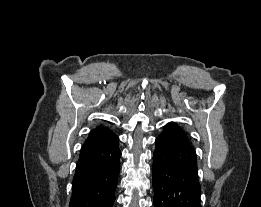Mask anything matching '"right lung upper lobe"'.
I'll return each mask as SVG.
<instances>
[{
  "label": "right lung upper lobe",
  "instance_id": "right-lung-upper-lobe-1",
  "mask_svg": "<svg viewBox=\"0 0 261 207\" xmlns=\"http://www.w3.org/2000/svg\"><path fill=\"white\" fill-rule=\"evenodd\" d=\"M115 136V133L107 127L97 126L89 133V136L84 142L82 149L103 143Z\"/></svg>",
  "mask_w": 261,
  "mask_h": 207
}]
</instances>
